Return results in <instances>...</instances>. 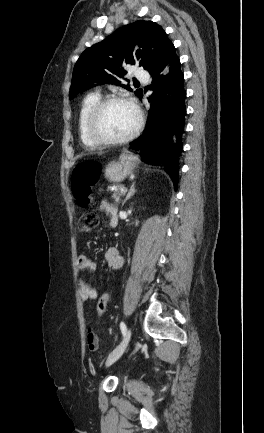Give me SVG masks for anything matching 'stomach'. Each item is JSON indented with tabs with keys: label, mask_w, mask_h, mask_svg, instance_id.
<instances>
[{
	"label": "stomach",
	"mask_w": 264,
	"mask_h": 433,
	"mask_svg": "<svg viewBox=\"0 0 264 433\" xmlns=\"http://www.w3.org/2000/svg\"><path fill=\"white\" fill-rule=\"evenodd\" d=\"M137 164V156L123 151L118 161H111L106 165L105 178L111 183H120L133 173Z\"/></svg>",
	"instance_id": "0dacf381"
}]
</instances>
